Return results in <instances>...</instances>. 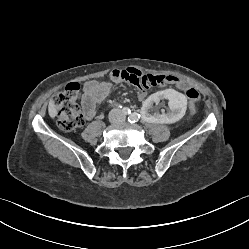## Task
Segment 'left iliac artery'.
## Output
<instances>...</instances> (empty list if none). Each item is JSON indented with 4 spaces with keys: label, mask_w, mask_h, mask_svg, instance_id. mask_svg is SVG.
<instances>
[{
    "label": "left iliac artery",
    "mask_w": 249,
    "mask_h": 249,
    "mask_svg": "<svg viewBox=\"0 0 249 249\" xmlns=\"http://www.w3.org/2000/svg\"><path fill=\"white\" fill-rule=\"evenodd\" d=\"M139 118H140V115H139L138 113H132V114L130 115V117L128 118V121H129L130 123H135V122L138 121Z\"/></svg>",
    "instance_id": "obj_1"
}]
</instances>
